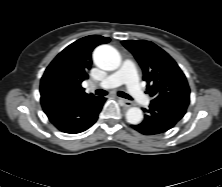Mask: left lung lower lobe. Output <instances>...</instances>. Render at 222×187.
<instances>
[{"instance_id": "left-lung-lower-lobe-1", "label": "left lung lower lobe", "mask_w": 222, "mask_h": 187, "mask_svg": "<svg viewBox=\"0 0 222 187\" xmlns=\"http://www.w3.org/2000/svg\"><path fill=\"white\" fill-rule=\"evenodd\" d=\"M188 104L189 99L184 98H167L151 102L144 121L131 126L144 135L164 133L184 116Z\"/></svg>"}]
</instances>
